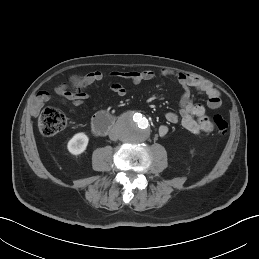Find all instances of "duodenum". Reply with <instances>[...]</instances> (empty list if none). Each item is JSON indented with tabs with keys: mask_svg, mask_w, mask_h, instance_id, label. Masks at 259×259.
I'll return each mask as SVG.
<instances>
[{
	"mask_svg": "<svg viewBox=\"0 0 259 259\" xmlns=\"http://www.w3.org/2000/svg\"><path fill=\"white\" fill-rule=\"evenodd\" d=\"M114 123L112 115L106 113L98 114L92 121V131L95 135L100 136L110 131Z\"/></svg>",
	"mask_w": 259,
	"mask_h": 259,
	"instance_id": "duodenum-1",
	"label": "duodenum"
}]
</instances>
